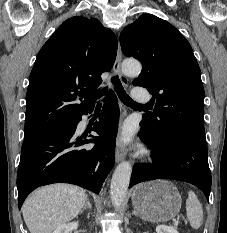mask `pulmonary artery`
<instances>
[{"mask_svg": "<svg viewBox=\"0 0 227 233\" xmlns=\"http://www.w3.org/2000/svg\"><path fill=\"white\" fill-rule=\"evenodd\" d=\"M133 95L138 101L142 103H146L149 101V98L146 95H144V93H142L140 90H135L133 92Z\"/></svg>", "mask_w": 227, "mask_h": 233, "instance_id": "pulmonary-artery-1", "label": "pulmonary artery"}]
</instances>
